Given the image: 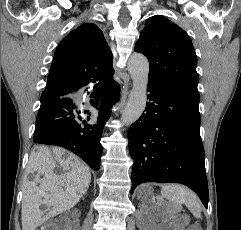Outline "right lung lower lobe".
I'll return each mask as SVG.
<instances>
[{
    "label": "right lung lower lobe",
    "instance_id": "1",
    "mask_svg": "<svg viewBox=\"0 0 241 230\" xmlns=\"http://www.w3.org/2000/svg\"><path fill=\"white\" fill-rule=\"evenodd\" d=\"M89 96L98 110L95 118L80 116V104ZM119 100V85L112 81L71 89L61 96L41 95L33 141L64 147L82 158L93 170L100 167V139L112 106Z\"/></svg>",
    "mask_w": 241,
    "mask_h": 230
}]
</instances>
